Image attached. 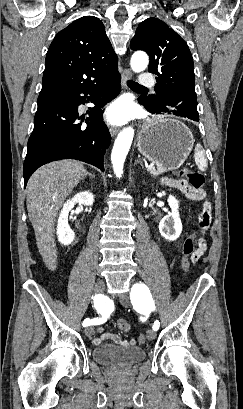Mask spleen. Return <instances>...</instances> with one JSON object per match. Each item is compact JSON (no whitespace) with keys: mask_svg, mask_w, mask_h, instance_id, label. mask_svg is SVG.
<instances>
[{"mask_svg":"<svg viewBox=\"0 0 243 409\" xmlns=\"http://www.w3.org/2000/svg\"><path fill=\"white\" fill-rule=\"evenodd\" d=\"M194 160L201 171H205L207 169V159L205 157V151L200 144H197L195 147Z\"/></svg>","mask_w":243,"mask_h":409,"instance_id":"obj_1","label":"spleen"}]
</instances>
